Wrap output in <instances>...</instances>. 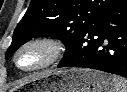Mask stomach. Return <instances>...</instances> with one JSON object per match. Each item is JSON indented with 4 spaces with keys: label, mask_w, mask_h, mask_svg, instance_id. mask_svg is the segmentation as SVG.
<instances>
[{
    "label": "stomach",
    "mask_w": 127,
    "mask_h": 92,
    "mask_svg": "<svg viewBox=\"0 0 127 92\" xmlns=\"http://www.w3.org/2000/svg\"><path fill=\"white\" fill-rule=\"evenodd\" d=\"M34 92H113V81L104 73L70 68L44 73L34 80Z\"/></svg>",
    "instance_id": "obj_1"
}]
</instances>
